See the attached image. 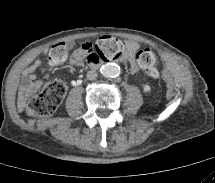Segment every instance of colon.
<instances>
[{
  "mask_svg": "<svg viewBox=\"0 0 215 183\" xmlns=\"http://www.w3.org/2000/svg\"><path fill=\"white\" fill-rule=\"evenodd\" d=\"M81 53L89 62H108L117 59L124 52V44L114 37H101L93 43H85L76 51ZM68 55L66 43H57L49 51L50 64L57 66L63 64ZM137 62L141 69L151 79H157L159 72L158 60L153 51L141 50L137 53ZM67 91V85L61 80L46 84L39 94L31 97L26 104V111L34 117L51 116L61 104Z\"/></svg>",
  "mask_w": 215,
  "mask_h": 183,
  "instance_id": "obj_1",
  "label": "colon"
}]
</instances>
